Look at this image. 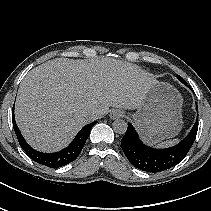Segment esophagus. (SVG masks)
I'll list each match as a JSON object with an SVG mask.
<instances>
[{"label": "esophagus", "mask_w": 211, "mask_h": 211, "mask_svg": "<svg viewBox=\"0 0 211 211\" xmlns=\"http://www.w3.org/2000/svg\"><path fill=\"white\" fill-rule=\"evenodd\" d=\"M124 116V113L121 110H113L110 113L111 119H118Z\"/></svg>", "instance_id": "1"}]
</instances>
